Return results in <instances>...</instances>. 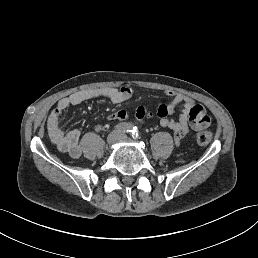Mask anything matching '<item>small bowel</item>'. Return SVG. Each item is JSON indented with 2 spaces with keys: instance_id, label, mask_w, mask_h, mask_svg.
<instances>
[{
  "instance_id": "1",
  "label": "small bowel",
  "mask_w": 258,
  "mask_h": 258,
  "mask_svg": "<svg viewBox=\"0 0 258 258\" xmlns=\"http://www.w3.org/2000/svg\"><path fill=\"white\" fill-rule=\"evenodd\" d=\"M165 94L170 98V102L168 104H158L156 113L160 118V125L173 130L177 145L187 136L190 128L200 130L210 126L211 118L205 108L202 105L196 104L191 97L174 90H167ZM132 95L133 89L129 86H123L121 88L81 90L62 98L48 118L47 130L51 141L61 152L68 153L73 158H79L82 154L79 144L80 131L78 129L68 131L62 129L63 112L89 99L102 97L114 104H120L130 99ZM179 105H182L183 108L178 119L171 118L170 116L176 111ZM151 116L152 113L144 106H140L135 112V117L139 121H144ZM127 118L128 113L125 110H118L110 114L108 120L125 121ZM95 128L101 132L108 128V124H97Z\"/></svg>"
}]
</instances>
